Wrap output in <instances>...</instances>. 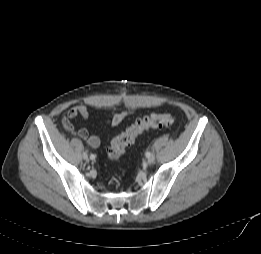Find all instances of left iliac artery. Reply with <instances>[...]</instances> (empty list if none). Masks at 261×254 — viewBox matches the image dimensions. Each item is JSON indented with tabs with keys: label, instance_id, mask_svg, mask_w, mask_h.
I'll return each instance as SVG.
<instances>
[{
	"label": "left iliac artery",
	"instance_id": "obj_1",
	"mask_svg": "<svg viewBox=\"0 0 261 254\" xmlns=\"http://www.w3.org/2000/svg\"><path fill=\"white\" fill-rule=\"evenodd\" d=\"M145 155L147 158H149L152 154L150 152H146Z\"/></svg>",
	"mask_w": 261,
	"mask_h": 254
}]
</instances>
